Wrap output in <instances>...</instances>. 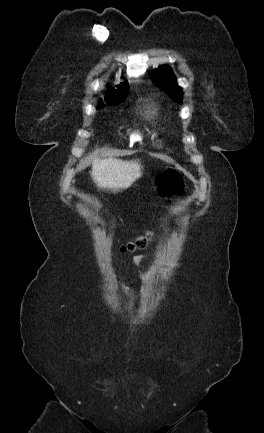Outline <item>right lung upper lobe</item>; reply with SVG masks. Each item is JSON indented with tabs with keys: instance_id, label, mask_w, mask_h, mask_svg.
<instances>
[{
	"instance_id": "obj_1",
	"label": "right lung upper lobe",
	"mask_w": 264,
	"mask_h": 433,
	"mask_svg": "<svg viewBox=\"0 0 264 433\" xmlns=\"http://www.w3.org/2000/svg\"><path fill=\"white\" fill-rule=\"evenodd\" d=\"M117 89L115 90L114 87H110L109 91H108V97L106 99V102L108 101H114V100H118V99H122L125 98L128 90H129V85L128 82H122L120 83V85L116 86Z\"/></svg>"
}]
</instances>
